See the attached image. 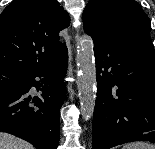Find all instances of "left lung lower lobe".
<instances>
[{"label":"left lung lower lobe","mask_w":155,"mask_h":149,"mask_svg":"<svg viewBox=\"0 0 155 149\" xmlns=\"http://www.w3.org/2000/svg\"><path fill=\"white\" fill-rule=\"evenodd\" d=\"M97 98L92 149L155 143V55L149 36L94 41Z\"/></svg>","instance_id":"left-lung-lower-lobe-1"}]
</instances>
